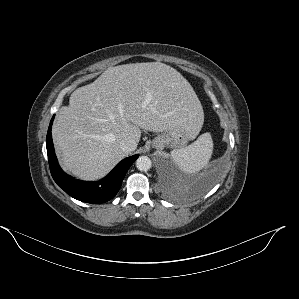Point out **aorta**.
<instances>
[{
    "label": "aorta",
    "mask_w": 299,
    "mask_h": 299,
    "mask_svg": "<svg viewBox=\"0 0 299 299\" xmlns=\"http://www.w3.org/2000/svg\"><path fill=\"white\" fill-rule=\"evenodd\" d=\"M151 159L147 156H140L136 160V167L140 171H148L151 168Z\"/></svg>",
    "instance_id": "obj_1"
}]
</instances>
